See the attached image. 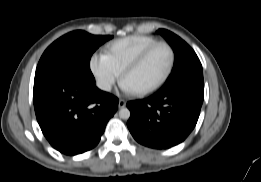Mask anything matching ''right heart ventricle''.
Here are the masks:
<instances>
[{
	"instance_id": "1",
	"label": "right heart ventricle",
	"mask_w": 261,
	"mask_h": 182,
	"mask_svg": "<svg viewBox=\"0 0 261 182\" xmlns=\"http://www.w3.org/2000/svg\"><path fill=\"white\" fill-rule=\"evenodd\" d=\"M159 41L148 36H129L110 43L106 55L113 66L122 73L144 50Z\"/></svg>"
}]
</instances>
